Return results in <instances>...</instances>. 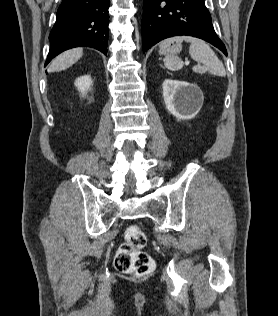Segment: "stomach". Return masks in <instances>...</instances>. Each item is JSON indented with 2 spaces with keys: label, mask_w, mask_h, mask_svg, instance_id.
I'll list each match as a JSON object with an SVG mask.
<instances>
[{
  "label": "stomach",
  "mask_w": 278,
  "mask_h": 316,
  "mask_svg": "<svg viewBox=\"0 0 278 316\" xmlns=\"http://www.w3.org/2000/svg\"><path fill=\"white\" fill-rule=\"evenodd\" d=\"M180 50H181V46L179 44H176L168 48L160 49V54L173 55V54L179 53Z\"/></svg>",
  "instance_id": "1"
}]
</instances>
